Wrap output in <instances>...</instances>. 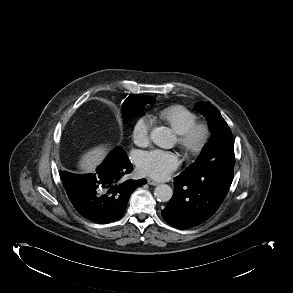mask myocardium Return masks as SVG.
I'll return each instance as SVG.
<instances>
[{"label":"myocardium","mask_w":293,"mask_h":293,"mask_svg":"<svg viewBox=\"0 0 293 293\" xmlns=\"http://www.w3.org/2000/svg\"><path fill=\"white\" fill-rule=\"evenodd\" d=\"M211 138V128L204 122H196L185 132L179 134L178 143L189 155L200 153Z\"/></svg>","instance_id":"myocardium-1"}]
</instances>
